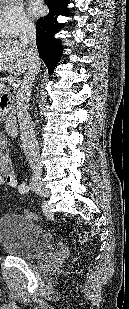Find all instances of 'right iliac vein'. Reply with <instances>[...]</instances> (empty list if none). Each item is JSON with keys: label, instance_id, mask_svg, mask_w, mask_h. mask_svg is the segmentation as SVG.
I'll return each mask as SVG.
<instances>
[{"label": "right iliac vein", "instance_id": "1", "mask_svg": "<svg viewBox=\"0 0 129 309\" xmlns=\"http://www.w3.org/2000/svg\"><path fill=\"white\" fill-rule=\"evenodd\" d=\"M31 188L41 196L47 197L49 191L43 186L41 180L37 177L33 178L30 183Z\"/></svg>", "mask_w": 129, "mask_h": 309}]
</instances>
